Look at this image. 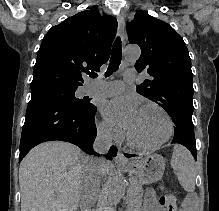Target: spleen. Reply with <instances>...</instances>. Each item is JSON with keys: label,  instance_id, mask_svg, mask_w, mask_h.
Instances as JSON below:
<instances>
[{"label": "spleen", "instance_id": "1", "mask_svg": "<svg viewBox=\"0 0 219 211\" xmlns=\"http://www.w3.org/2000/svg\"><path fill=\"white\" fill-rule=\"evenodd\" d=\"M171 165L185 191H194L195 163L190 151L184 145H174Z\"/></svg>", "mask_w": 219, "mask_h": 211}]
</instances>
